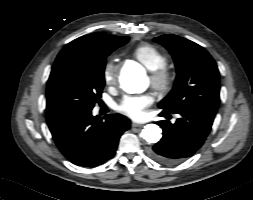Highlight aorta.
<instances>
[{"mask_svg":"<svg viewBox=\"0 0 253 200\" xmlns=\"http://www.w3.org/2000/svg\"><path fill=\"white\" fill-rule=\"evenodd\" d=\"M122 88L128 93H142L148 87V78L142 70H125L121 77ZM162 130L156 124H147L144 126L141 136L148 143H156L161 137Z\"/></svg>","mask_w":253,"mask_h":200,"instance_id":"1","label":"aorta"}]
</instances>
